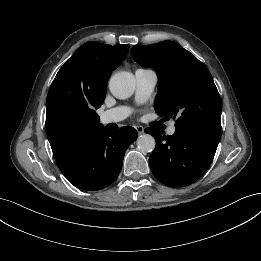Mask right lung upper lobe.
Masks as SVG:
<instances>
[{"mask_svg":"<svg viewBox=\"0 0 261 261\" xmlns=\"http://www.w3.org/2000/svg\"><path fill=\"white\" fill-rule=\"evenodd\" d=\"M129 45H82L58 71L47 95L46 133L60 169L67 167L104 129L96 113L114 69Z\"/></svg>","mask_w":261,"mask_h":261,"instance_id":"obj_1","label":"right lung upper lobe"}]
</instances>
